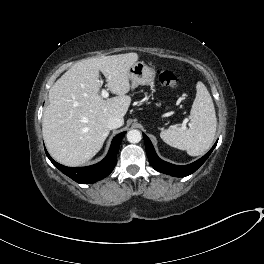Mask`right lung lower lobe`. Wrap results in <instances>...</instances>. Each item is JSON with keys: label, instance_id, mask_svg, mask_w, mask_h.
I'll list each match as a JSON object with an SVG mask.
<instances>
[{"label": "right lung lower lobe", "instance_id": "obj_1", "mask_svg": "<svg viewBox=\"0 0 264 264\" xmlns=\"http://www.w3.org/2000/svg\"><path fill=\"white\" fill-rule=\"evenodd\" d=\"M126 132L114 137L107 156L99 163L87 167H66L55 162L45 150L47 157L61 172L80 184L94 183L108 176L117 162L120 143Z\"/></svg>", "mask_w": 264, "mask_h": 264}]
</instances>
